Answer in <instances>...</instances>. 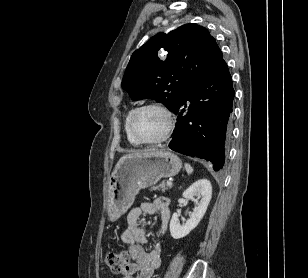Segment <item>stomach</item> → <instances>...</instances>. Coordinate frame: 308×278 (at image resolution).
<instances>
[{
	"label": "stomach",
	"mask_w": 308,
	"mask_h": 278,
	"mask_svg": "<svg viewBox=\"0 0 308 278\" xmlns=\"http://www.w3.org/2000/svg\"><path fill=\"white\" fill-rule=\"evenodd\" d=\"M181 167L180 158L165 150L141 151L121 157L109 179L108 219L120 218L141 189L155 185L161 178L175 176Z\"/></svg>",
	"instance_id": "0dacf381"
}]
</instances>
